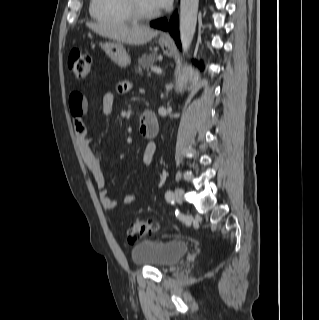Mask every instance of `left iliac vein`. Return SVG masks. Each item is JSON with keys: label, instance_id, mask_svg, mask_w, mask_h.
Wrapping results in <instances>:
<instances>
[{"label": "left iliac vein", "instance_id": "1", "mask_svg": "<svg viewBox=\"0 0 319 320\" xmlns=\"http://www.w3.org/2000/svg\"><path fill=\"white\" fill-rule=\"evenodd\" d=\"M183 196H184V191L180 188H177L174 192V200L177 203H182Z\"/></svg>", "mask_w": 319, "mask_h": 320}]
</instances>
